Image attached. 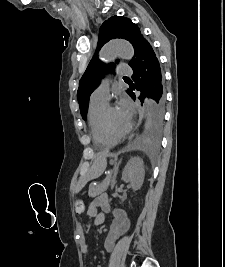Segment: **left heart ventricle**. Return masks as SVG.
Listing matches in <instances>:
<instances>
[{
  "instance_id": "obj_1",
  "label": "left heart ventricle",
  "mask_w": 225,
  "mask_h": 267,
  "mask_svg": "<svg viewBox=\"0 0 225 267\" xmlns=\"http://www.w3.org/2000/svg\"><path fill=\"white\" fill-rule=\"evenodd\" d=\"M107 123L111 131L115 134L124 132L129 123H127L117 108H112L107 115Z\"/></svg>"
}]
</instances>
